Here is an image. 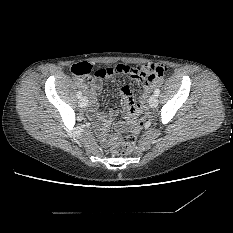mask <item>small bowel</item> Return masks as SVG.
I'll list each match as a JSON object with an SVG mask.
<instances>
[{
  "label": "small bowel",
  "instance_id": "small-bowel-1",
  "mask_svg": "<svg viewBox=\"0 0 233 233\" xmlns=\"http://www.w3.org/2000/svg\"><path fill=\"white\" fill-rule=\"evenodd\" d=\"M139 84L142 87L143 94L145 95L151 87H153L156 82H145L138 80ZM81 84V82H80ZM84 91L91 97V108L90 115L93 119L97 120L100 123V128L98 129L99 139L104 146H109L119 134L124 133L128 130L137 131V121L136 116L128 112V107L134 105L133 95L131 89L128 85L122 86L120 92L124 99V114L126 119L124 121H120L115 126V133L107 134L104 131V126L108 124L112 119H114L118 110L116 108H111L110 110L103 112L100 110V105L97 100V94L102 89V82L100 79L90 78L86 85H82Z\"/></svg>",
  "mask_w": 233,
  "mask_h": 233
}]
</instances>
